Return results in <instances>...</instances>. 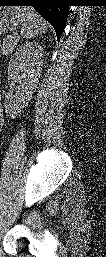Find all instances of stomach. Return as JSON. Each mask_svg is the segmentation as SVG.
<instances>
[{
	"label": "stomach",
	"mask_w": 106,
	"mask_h": 257,
	"mask_svg": "<svg viewBox=\"0 0 106 257\" xmlns=\"http://www.w3.org/2000/svg\"><path fill=\"white\" fill-rule=\"evenodd\" d=\"M16 7H0V33L5 34L16 28L20 22Z\"/></svg>",
	"instance_id": "obj_1"
}]
</instances>
